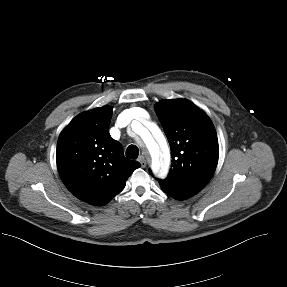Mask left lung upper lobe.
<instances>
[{
    "label": "left lung upper lobe",
    "instance_id": "obj_1",
    "mask_svg": "<svg viewBox=\"0 0 287 287\" xmlns=\"http://www.w3.org/2000/svg\"><path fill=\"white\" fill-rule=\"evenodd\" d=\"M155 110L172 152L170 172L159 180L160 187L178 199H187L201 191L215 172L219 146L214 125L187 99L161 101Z\"/></svg>",
    "mask_w": 287,
    "mask_h": 287
}]
</instances>
